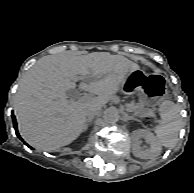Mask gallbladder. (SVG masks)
Returning <instances> with one entry per match:
<instances>
[{
  "instance_id": "1",
  "label": "gallbladder",
  "mask_w": 194,
  "mask_h": 193,
  "mask_svg": "<svg viewBox=\"0 0 194 193\" xmlns=\"http://www.w3.org/2000/svg\"><path fill=\"white\" fill-rule=\"evenodd\" d=\"M72 92H73V90L68 91V95H70V93H72Z\"/></svg>"
}]
</instances>
